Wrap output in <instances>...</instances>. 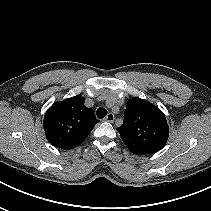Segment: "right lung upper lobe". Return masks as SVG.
Wrapping results in <instances>:
<instances>
[{
	"label": "right lung upper lobe",
	"mask_w": 211,
	"mask_h": 211,
	"mask_svg": "<svg viewBox=\"0 0 211 211\" xmlns=\"http://www.w3.org/2000/svg\"><path fill=\"white\" fill-rule=\"evenodd\" d=\"M99 122L80 95L54 103L44 115V131L54 146L70 150L79 146Z\"/></svg>",
	"instance_id": "obj_1"
}]
</instances>
